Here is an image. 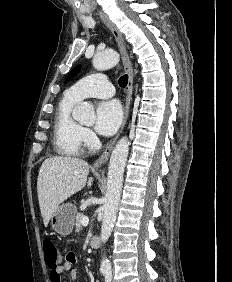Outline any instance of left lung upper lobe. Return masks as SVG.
Listing matches in <instances>:
<instances>
[{"mask_svg":"<svg viewBox=\"0 0 232 282\" xmlns=\"http://www.w3.org/2000/svg\"><path fill=\"white\" fill-rule=\"evenodd\" d=\"M79 70H80V65L76 66V67L70 72V74L68 75V77H67L65 83L68 82L70 79H72V78L79 72Z\"/></svg>","mask_w":232,"mask_h":282,"instance_id":"1","label":"left lung upper lobe"}]
</instances>
